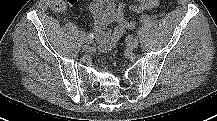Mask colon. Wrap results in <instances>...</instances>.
Masks as SVG:
<instances>
[{"label": "colon", "mask_w": 217, "mask_h": 121, "mask_svg": "<svg viewBox=\"0 0 217 121\" xmlns=\"http://www.w3.org/2000/svg\"><path fill=\"white\" fill-rule=\"evenodd\" d=\"M76 0H53L51 7L55 12L65 11Z\"/></svg>", "instance_id": "5ec220e1"}]
</instances>
